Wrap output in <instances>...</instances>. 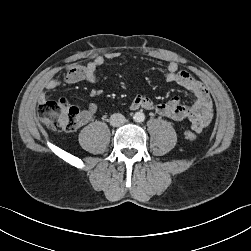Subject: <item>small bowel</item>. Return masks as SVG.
<instances>
[{"instance_id": "c3829d8e", "label": "small bowel", "mask_w": 251, "mask_h": 251, "mask_svg": "<svg viewBox=\"0 0 251 251\" xmlns=\"http://www.w3.org/2000/svg\"><path fill=\"white\" fill-rule=\"evenodd\" d=\"M119 57L116 52L108 53L105 56H97L87 64H77L66 70L62 78H50L44 81V90H54L62 84H75L86 81L91 84L99 82L97 70L103 66L107 60ZM166 80L170 83L178 84L195 96V101L188 106L175 96L163 103H154L150 98L143 95H136L130 103L132 110L146 109L153 111L163 117L174 121L188 120L192 129L200 133L213 119V102L207 88L198 80L193 78L187 71L179 70L178 64L170 61L167 64ZM48 97L41 92L38 95L40 103L47 101ZM97 107L91 103L84 110L80 111L79 125L87 123L95 114Z\"/></svg>"}]
</instances>
